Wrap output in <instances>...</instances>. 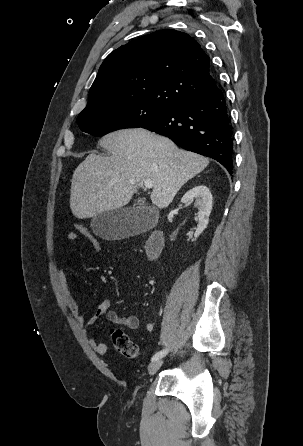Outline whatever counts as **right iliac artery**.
Masks as SVG:
<instances>
[{"label": "right iliac artery", "instance_id": "82829eb1", "mask_svg": "<svg viewBox=\"0 0 303 446\" xmlns=\"http://www.w3.org/2000/svg\"><path fill=\"white\" fill-rule=\"evenodd\" d=\"M168 352V349H163L159 352H157L156 354H154V356L152 357V361L158 360L162 357H164Z\"/></svg>", "mask_w": 303, "mask_h": 446}]
</instances>
